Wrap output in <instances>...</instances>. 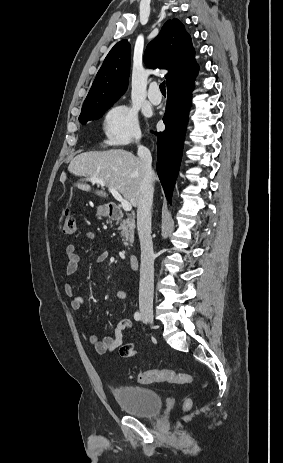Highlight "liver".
Listing matches in <instances>:
<instances>
[{"label": "liver", "instance_id": "obj_1", "mask_svg": "<svg viewBox=\"0 0 283 463\" xmlns=\"http://www.w3.org/2000/svg\"><path fill=\"white\" fill-rule=\"evenodd\" d=\"M68 171L80 177L102 179L109 187H113L121 193L134 207L138 206L144 167L140 158L131 152L122 149H110L108 151L81 153L72 159ZM66 178V173H62L60 181L64 183ZM155 181H157V175L153 171L152 182ZM97 185L99 187L101 184ZM76 186L84 191H91L92 189L86 183H77ZM93 192L100 197H108L103 190L93 189Z\"/></svg>", "mask_w": 283, "mask_h": 463}]
</instances>
